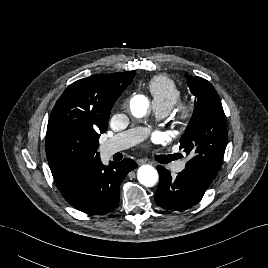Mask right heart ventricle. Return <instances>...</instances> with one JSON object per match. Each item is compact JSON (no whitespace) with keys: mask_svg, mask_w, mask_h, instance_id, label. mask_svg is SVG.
I'll return each mask as SVG.
<instances>
[{"mask_svg":"<svg viewBox=\"0 0 268 268\" xmlns=\"http://www.w3.org/2000/svg\"><path fill=\"white\" fill-rule=\"evenodd\" d=\"M148 90L152 96L153 105L167 109L169 112L182 97V90L171 79L156 76L148 83Z\"/></svg>","mask_w":268,"mask_h":268,"instance_id":"e07e8e85","label":"right heart ventricle"}]
</instances>
